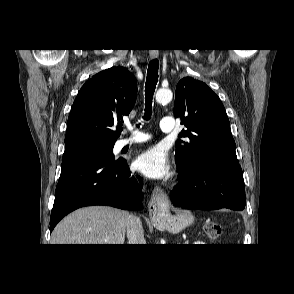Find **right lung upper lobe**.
Masks as SVG:
<instances>
[{
	"label": "right lung upper lobe",
	"instance_id": "cb5924a9",
	"mask_svg": "<svg viewBox=\"0 0 294 294\" xmlns=\"http://www.w3.org/2000/svg\"><path fill=\"white\" fill-rule=\"evenodd\" d=\"M137 82L123 67L106 69L88 80L80 89L68 117L65 144L77 140L115 142L121 133L123 115L132 110Z\"/></svg>",
	"mask_w": 294,
	"mask_h": 294
}]
</instances>
